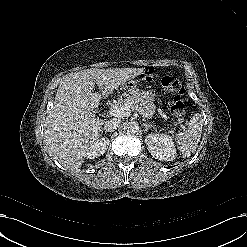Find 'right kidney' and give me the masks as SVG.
Masks as SVG:
<instances>
[{"label": "right kidney", "mask_w": 247, "mask_h": 247, "mask_svg": "<svg viewBox=\"0 0 247 247\" xmlns=\"http://www.w3.org/2000/svg\"><path fill=\"white\" fill-rule=\"evenodd\" d=\"M108 145L109 139L106 137L92 142L89 148L85 151V157L89 159L98 158L105 153V151L108 149Z\"/></svg>", "instance_id": "obj_1"}]
</instances>
